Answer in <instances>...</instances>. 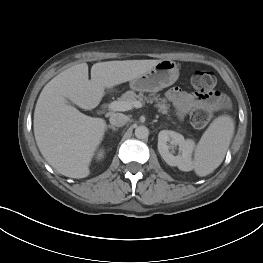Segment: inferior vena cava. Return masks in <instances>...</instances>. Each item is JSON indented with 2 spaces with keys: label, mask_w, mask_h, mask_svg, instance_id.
I'll return each instance as SVG.
<instances>
[{
  "label": "inferior vena cava",
  "mask_w": 263,
  "mask_h": 263,
  "mask_svg": "<svg viewBox=\"0 0 263 263\" xmlns=\"http://www.w3.org/2000/svg\"><path fill=\"white\" fill-rule=\"evenodd\" d=\"M109 121L111 125L121 127L127 123V116L122 113H113L111 114Z\"/></svg>",
  "instance_id": "obj_1"
}]
</instances>
